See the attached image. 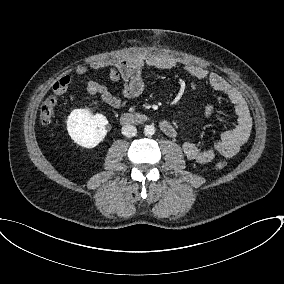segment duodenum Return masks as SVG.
Segmentation results:
<instances>
[{
  "instance_id": "obj_1",
  "label": "duodenum",
  "mask_w": 284,
  "mask_h": 284,
  "mask_svg": "<svg viewBox=\"0 0 284 284\" xmlns=\"http://www.w3.org/2000/svg\"><path fill=\"white\" fill-rule=\"evenodd\" d=\"M153 118L147 114L136 113V112H127L124 113L121 117V121L125 125H139L152 121ZM160 130L167 136H174L176 130L173 124L168 120L159 121Z\"/></svg>"
}]
</instances>
